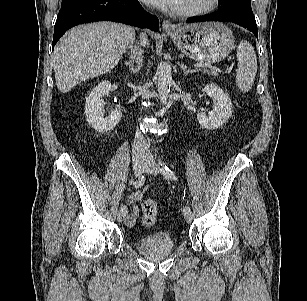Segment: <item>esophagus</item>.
Here are the masks:
<instances>
[{"mask_svg": "<svg viewBox=\"0 0 307 301\" xmlns=\"http://www.w3.org/2000/svg\"><path fill=\"white\" fill-rule=\"evenodd\" d=\"M162 28L165 32H171L175 30V27L169 20H164L162 23Z\"/></svg>", "mask_w": 307, "mask_h": 301, "instance_id": "esophagus-1", "label": "esophagus"}]
</instances>
